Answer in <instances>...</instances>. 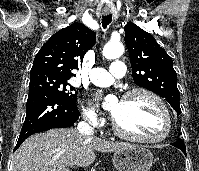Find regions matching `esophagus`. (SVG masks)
<instances>
[{
  "label": "esophagus",
  "mask_w": 199,
  "mask_h": 171,
  "mask_svg": "<svg viewBox=\"0 0 199 171\" xmlns=\"http://www.w3.org/2000/svg\"><path fill=\"white\" fill-rule=\"evenodd\" d=\"M104 14H109V12H108V11H105Z\"/></svg>",
  "instance_id": "esophagus-1"
}]
</instances>
